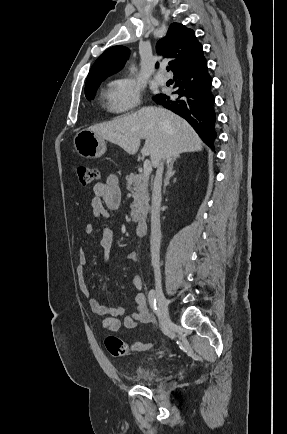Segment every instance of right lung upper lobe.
Instances as JSON below:
<instances>
[{
  "label": "right lung upper lobe",
  "mask_w": 287,
  "mask_h": 434,
  "mask_svg": "<svg viewBox=\"0 0 287 434\" xmlns=\"http://www.w3.org/2000/svg\"><path fill=\"white\" fill-rule=\"evenodd\" d=\"M156 50L159 54L174 59L170 62V65L175 74L189 65L203 51V48L197 41L193 30L186 28L182 24L172 23L167 35L157 42ZM128 56L129 49L124 46L109 48L91 67L86 84L102 81L121 70Z\"/></svg>",
  "instance_id": "1"
}]
</instances>
